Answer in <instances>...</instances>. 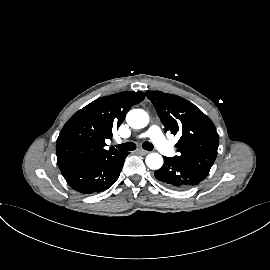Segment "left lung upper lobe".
Here are the masks:
<instances>
[{"label":"left lung upper lobe","instance_id":"1","mask_svg":"<svg viewBox=\"0 0 270 270\" xmlns=\"http://www.w3.org/2000/svg\"><path fill=\"white\" fill-rule=\"evenodd\" d=\"M146 95L155 106L165 133L181 134L175 145L179 152L175 158L209 173L219 145L213 122L182 97L161 91H147Z\"/></svg>","mask_w":270,"mask_h":270}]
</instances>
